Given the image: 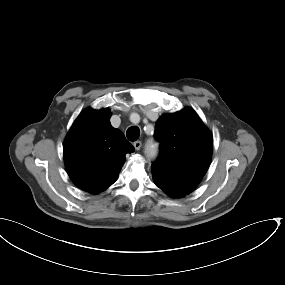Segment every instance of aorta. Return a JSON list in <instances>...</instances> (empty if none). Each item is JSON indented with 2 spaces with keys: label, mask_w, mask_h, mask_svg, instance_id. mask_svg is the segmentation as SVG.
<instances>
[{
  "label": "aorta",
  "mask_w": 285,
  "mask_h": 285,
  "mask_svg": "<svg viewBox=\"0 0 285 285\" xmlns=\"http://www.w3.org/2000/svg\"><path fill=\"white\" fill-rule=\"evenodd\" d=\"M147 153L149 154V156L155 155V151H154L153 149H151V148H149V149L147 150Z\"/></svg>",
  "instance_id": "aorta-1"
}]
</instances>
